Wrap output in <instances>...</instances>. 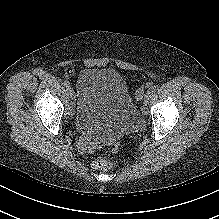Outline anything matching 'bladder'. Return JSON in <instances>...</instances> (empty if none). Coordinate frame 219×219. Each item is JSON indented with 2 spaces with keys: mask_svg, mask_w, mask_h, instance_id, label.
<instances>
[{
  "mask_svg": "<svg viewBox=\"0 0 219 219\" xmlns=\"http://www.w3.org/2000/svg\"><path fill=\"white\" fill-rule=\"evenodd\" d=\"M76 98L72 122L82 132L115 137L138 127V113L127 84L113 69L85 68L77 80Z\"/></svg>",
  "mask_w": 219,
  "mask_h": 219,
  "instance_id": "obj_1",
  "label": "bladder"
}]
</instances>
